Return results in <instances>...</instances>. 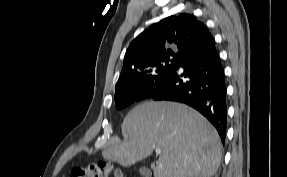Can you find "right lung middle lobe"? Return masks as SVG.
Listing matches in <instances>:
<instances>
[{
	"mask_svg": "<svg viewBox=\"0 0 287 177\" xmlns=\"http://www.w3.org/2000/svg\"><path fill=\"white\" fill-rule=\"evenodd\" d=\"M178 62V58L160 60L146 70L135 84L115 87V105L117 109H123L137 101L147 88L173 71Z\"/></svg>",
	"mask_w": 287,
	"mask_h": 177,
	"instance_id": "dd1d6c3e",
	"label": "right lung middle lobe"
}]
</instances>
